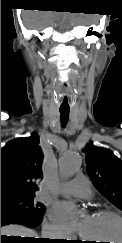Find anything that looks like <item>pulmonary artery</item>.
<instances>
[{
    "instance_id": "obj_1",
    "label": "pulmonary artery",
    "mask_w": 122,
    "mask_h": 243,
    "mask_svg": "<svg viewBox=\"0 0 122 243\" xmlns=\"http://www.w3.org/2000/svg\"><path fill=\"white\" fill-rule=\"evenodd\" d=\"M59 192L81 198H90L92 196L90 184L82 175H78L73 180L63 183L59 189Z\"/></svg>"
}]
</instances>
